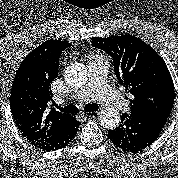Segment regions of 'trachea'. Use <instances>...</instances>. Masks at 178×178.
<instances>
[{
  "label": "trachea",
  "mask_w": 178,
  "mask_h": 178,
  "mask_svg": "<svg viewBox=\"0 0 178 178\" xmlns=\"http://www.w3.org/2000/svg\"><path fill=\"white\" fill-rule=\"evenodd\" d=\"M60 111L67 113V114H76L79 112V109L75 105H67L66 107L56 106ZM99 108L98 104H87L84 107V110L87 112H94L97 111Z\"/></svg>",
  "instance_id": "1"
}]
</instances>
